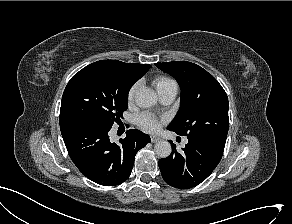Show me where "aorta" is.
I'll use <instances>...</instances> for the list:
<instances>
[{"label":"aorta","mask_w":292,"mask_h":224,"mask_svg":"<svg viewBox=\"0 0 292 224\" xmlns=\"http://www.w3.org/2000/svg\"><path fill=\"white\" fill-rule=\"evenodd\" d=\"M135 101L139 107L149 108L157 103V94L148 88H141L136 93ZM154 151L159 157L166 158L171 154L172 148L168 141H159L155 144Z\"/></svg>","instance_id":"1"}]
</instances>
